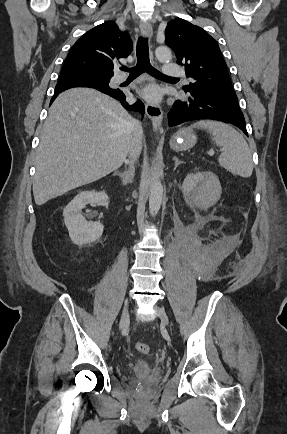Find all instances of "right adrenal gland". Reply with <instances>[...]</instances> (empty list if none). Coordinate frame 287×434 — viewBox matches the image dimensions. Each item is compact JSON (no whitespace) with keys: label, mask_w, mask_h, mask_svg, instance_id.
Instances as JSON below:
<instances>
[{"label":"right adrenal gland","mask_w":287,"mask_h":434,"mask_svg":"<svg viewBox=\"0 0 287 434\" xmlns=\"http://www.w3.org/2000/svg\"><path fill=\"white\" fill-rule=\"evenodd\" d=\"M127 165V162L125 161V166ZM134 173V168L130 167L129 169H126L124 172H115L114 175H118L121 178L122 184L127 185L132 181Z\"/></svg>","instance_id":"1"}]
</instances>
